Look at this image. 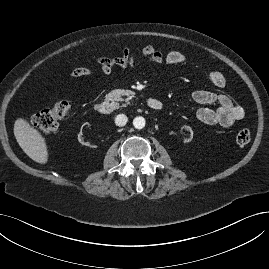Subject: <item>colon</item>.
Returning <instances> with one entry per match:
<instances>
[{
	"instance_id": "5ec220e1",
	"label": "colon",
	"mask_w": 269,
	"mask_h": 269,
	"mask_svg": "<svg viewBox=\"0 0 269 269\" xmlns=\"http://www.w3.org/2000/svg\"><path fill=\"white\" fill-rule=\"evenodd\" d=\"M70 114V104L68 101L61 100L53 106L42 110L36 114L30 121V125L43 134L54 132L59 122ZM251 139V132L247 128L238 131L236 141L240 145L249 143Z\"/></svg>"
}]
</instances>
